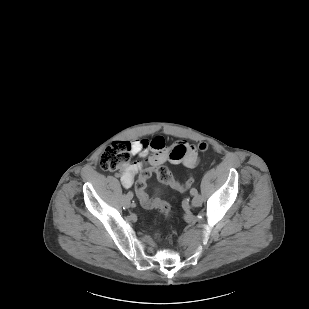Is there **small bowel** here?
Listing matches in <instances>:
<instances>
[{"label": "small bowel", "mask_w": 309, "mask_h": 309, "mask_svg": "<svg viewBox=\"0 0 309 309\" xmlns=\"http://www.w3.org/2000/svg\"><path fill=\"white\" fill-rule=\"evenodd\" d=\"M132 153L140 157V160L129 163L119 174L121 182L126 188L132 186L134 176L144 169L152 171L167 161L193 168L199 161L198 148L195 145L181 140L176 142L169 151L165 139L161 135H156L151 139L142 138L133 141Z\"/></svg>", "instance_id": "obj_1"}]
</instances>
